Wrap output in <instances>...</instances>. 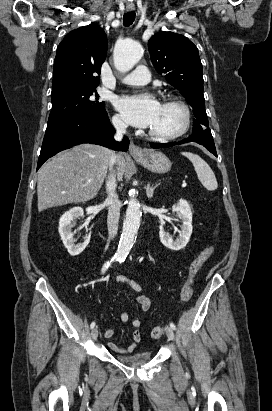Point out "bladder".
<instances>
[{
	"label": "bladder",
	"mask_w": 272,
	"mask_h": 411,
	"mask_svg": "<svg viewBox=\"0 0 272 411\" xmlns=\"http://www.w3.org/2000/svg\"><path fill=\"white\" fill-rule=\"evenodd\" d=\"M152 357L150 352L133 353L128 355H118L117 360L127 365H142L147 363Z\"/></svg>",
	"instance_id": "obj_1"
}]
</instances>
